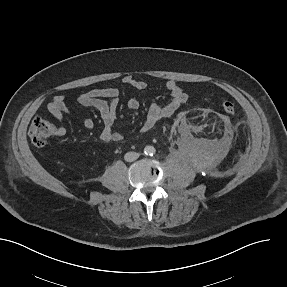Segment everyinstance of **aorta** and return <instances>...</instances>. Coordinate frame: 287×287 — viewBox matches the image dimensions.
I'll list each match as a JSON object with an SVG mask.
<instances>
[{
  "mask_svg": "<svg viewBox=\"0 0 287 287\" xmlns=\"http://www.w3.org/2000/svg\"><path fill=\"white\" fill-rule=\"evenodd\" d=\"M145 154H153L154 153V147L153 146H146L144 149Z\"/></svg>",
  "mask_w": 287,
  "mask_h": 287,
  "instance_id": "obj_1",
  "label": "aorta"
}]
</instances>
